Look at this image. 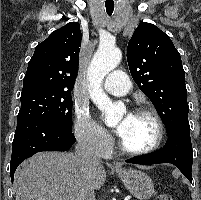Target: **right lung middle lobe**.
I'll list each match as a JSON object with an SVG mask.
<instances>
[{"label": "right lung middle lobe", "mask_w": 201, "mask_h": 200, "mask_svg": "<svg viewBox=\"0 0 201 200\" xmlns=\"http://www.w3.org/2000/svg\"><path fill=\"white\" fill-rule=\"evenodd\" d=\"M21 108L17 123L35 118L55 121L71 129L72 98L70 92L52 90H33L22 92Z\"/></svg>", "instance_id": "obj_1"}]
</instances>
